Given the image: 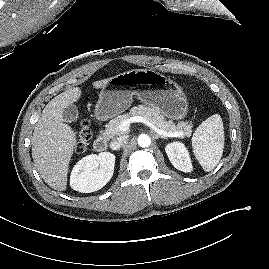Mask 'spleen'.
Wrapping results in <instances>:
<instances>
[{
	"label": "spleen",
	"instance_id": "obj_1",
	"mask_svg": "<svg viewBox=\"0 0 269 269\" xmlns=\"http://www.w3.org/2000/svg\"><path fill=\"white\" fill-rule=\"evenodd\" d=\"M224 139V127L219 114L203 121L193 134V152L204 171L209 172L218 165L223 154Z\"/></svg>",
	"mask_w": 269,
	"mask_h": 269
}]
</instances>
